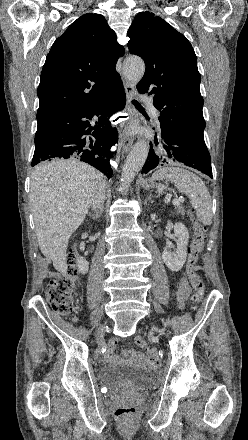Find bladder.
Here are the masks:
<instances>
[{
    "label": "bladder",
    "instance_id": "1",
    "mask_svg": "<svg viewBox=\"0 0 248 440\" xmlns=\"http://www.w3.org/2000/svg\"><path fill=\"white\" fill-rule=\"evenodd\" d=\"M99 375L103 381L118 389H139L154 381L152 371L134 366L102 365Z\"/></svg>",
    "mask_w": 248,
    "mask_h": 440
}]
</instances>
